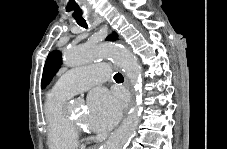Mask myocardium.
Returning a JSON list of instances; mask_svg holds the SVG:
<instances>
[{
  "label": "myocardium",
  "instance_id": "f54148a6",
  "mask_svg": "<svg viewBox=\"0 0 227 149\" xmlns=\"http://www.w3.org/2000/svg\"><path fill=\"white\" fill-rule=\"evenodd\" d=\"M69 121H70L72 127H73L77 132H80V131L83 130L82 122H78V121H76V120H74V119H71V118H69Z\"/></svg>",
  "mask_w": 227,
  "mask_h": 149
}]
</instances>
